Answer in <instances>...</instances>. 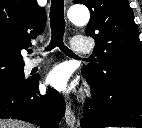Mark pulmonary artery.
<instances>
[{
  "instance_id": "pulmonary-artery-1",
  "label": "pulmonary artery",
  "mask_w": 142,
  "mask_h": 128,
  "mask_svg": "<svg viewBox=\"0 0 142 128\" xmlns=\"http://www.w3.org/2000/svg\"><path fill=\"white\" fill-rule=\"evenodd\" d=\"M71 49L76 54H88L91 52V46L88 40L80 36H76L72 39ZM41 60L42 59L39 57L27 60L25 63V69L28 71L31 70L38 65Z\"/></svg>"
}]
</instances>
